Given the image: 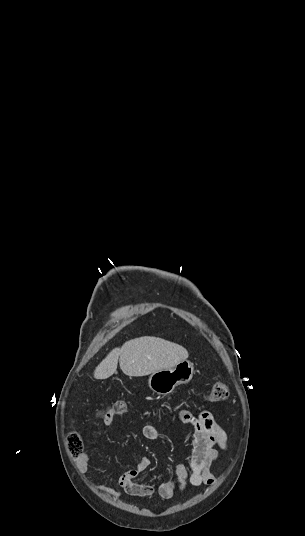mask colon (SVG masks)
Returning a JSON list of instances; mask_svg holds the SVG:
<instances>
[{
    "label": "colon",
    "mask_w": 305,
    "mask_h": 536,
    "mask_svg": "<svg viewBox=\"0 0 305 536\" xmlns=\"http://www.w3.org/2000/svg\"><path fill=\"white\" fill-rule=\"evenodd\" d=\"M228 397V388L223 381H217L210 392L207 394V403L217 404L223 402ZM128 407V402L125 400H118L112 405L104 408L105 415H115L120 416L125 413ZM107 409H110V412H107ZM104 418L103 421L104 422ZM65 446H68V452L70 454H79L81 452V446H83L84 438L83 435H65L64 438Z\"/></svg>",
    "instance_id": "obj_1"
}]
</instances>
